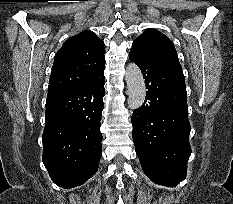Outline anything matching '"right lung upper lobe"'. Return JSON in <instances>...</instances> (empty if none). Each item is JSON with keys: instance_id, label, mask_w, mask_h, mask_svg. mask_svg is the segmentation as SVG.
I'll return each mask as SVG.
<instances>
[{"instance_id": "cb5924a9", "label": "right lung upper lobe", "mask_w": 233, "mask_h": 204, "mask_svg": "<svg viewBox=\"0 0 233 204\" xmlns=\"http://www.w3.org/2000/svg\"><path fill=\"white\" fill-rule=\"evenodd\" d=\"M104 69V42L93 32L83 31L69 38L57 52L47 97L81 87Z\"/></svg>"}]
</instances>
